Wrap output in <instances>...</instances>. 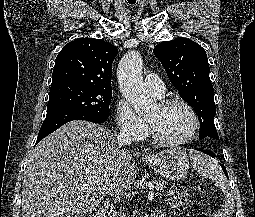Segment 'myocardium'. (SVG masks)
Here are the masks:
<instances>
[{"mask_svg": "<svg viewBox=\"0 0 255 217\" xmlns=\"http://www.w3.org/2000/svg\"><path fill=\"white\" fill-rule=\"evenodd\" d=\"M174 104L182 105L188 110V112L190 113V115L192 117V122H193L192 129L186 137L177 139V140H170V139H165V138L161 137L160 135H158L156 133V131L153 129L151 123L148 121L149 131H150L152 138L157 143L165 145V146H180V145H184V144L190 142L197 134V132L199 130V126H200L199 116H198L196 110L194 109V107L187 100H185L183 98H179V97H172V98L162 99L159 102V106L161 108H167Z\"/></svg>", "mask_w": 255, "mask_h": 217, "instance_id": "f54148a6", "label": "myocardium"}]
</instances>
